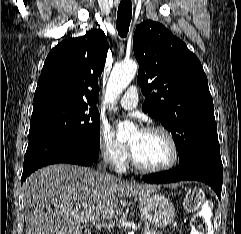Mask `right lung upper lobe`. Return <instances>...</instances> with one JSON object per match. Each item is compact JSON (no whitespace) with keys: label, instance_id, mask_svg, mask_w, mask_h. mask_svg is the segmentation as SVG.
<instances>
[{"label":"right lung upper lobe","instance_id":"1","mask_svg":"<svg viewBox=\"0 0 241 234\" xmlns=\"http://www.w3.org/2000/svg\"><path fill=\"white\" fill-rule=\"evenodd\" d=\"M109 45L103 31L62 41L48 54L34 94V106L65 102L96 105L98 79Z\"/></svg>","mask_w":241,"mask_h":234}]
</instances>
